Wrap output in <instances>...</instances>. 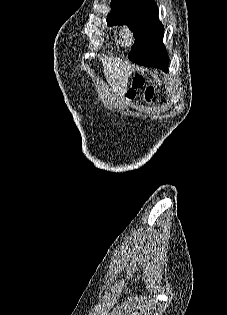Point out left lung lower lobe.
<instances>
[{
  "mask_svg": "<svg viewBox=\"0 0 227 315\" xmlns=\"http://www.w3.org/2000/svg\"><path fill=\"white\" fill-rule=\"evenodd\" d=\"M128 57L139 65L154 66L167 72L168 56L153 38L146 37L136 43Z\"/></svg>",
  "mask_w": 227,
  "mask_h": 315,
  "instance_id": "0a47b994",
  "label": "left lung lower lobe"
}]
</instances>
